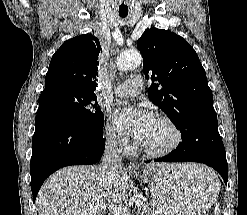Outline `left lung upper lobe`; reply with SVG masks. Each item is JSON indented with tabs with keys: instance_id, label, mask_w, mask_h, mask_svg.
I'll use <instances>...</instances> for the list:
<instances>
[{
	"instance_id": "5c2ea615",
	"label": "left lung upper lobe",
	"mask_w": 247,
	"mask_h": 215,
	"mask_svg": "<svg viewBox=\"0 0 247 215\" xmlns=\"http://www.w3.org/2000/svg\"><path fill=\"white\" fill-rule=\"evenodd\" d=\"M143 71L152 80L149 99L179 128L189 133L217 129L212 91L190 44L168 30L146 29L137 41Z\"/></svg>"
}]
</instances>
